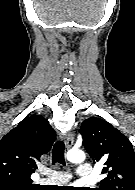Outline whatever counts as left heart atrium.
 <instances>
[{
  "label": "left heart atrium",
  "mask_w": 135,
  "mask_h": 190,
  "mask_svg": "<svg viewBox=\"0 0 135 190\" xmlns=\"http://www.w3.org/2000/svg\"><path fill=\"white\" fill-rule=\"evenodd\" d=\"M64 190H79V188H77V187H67L66 189H64Z\"/></svg>",
  "instance_id": "obj_1"
}]
</instances>
